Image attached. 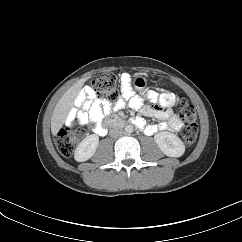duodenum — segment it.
Wrapping results in <instances>:
<instances>
[{"mask_svg": "<svg viewBox=\"0 0 242 242\" xmlns=\"http://www.w3.org/2000/svg\"><path fill=\"white\" fill-rule=\"evenodd\" d=\"M105 124L106 127L104 126L103 134L106 132L107 127H120L126 125L127 122L117 116H112Z\"/></svg>", "mask_w": 242, "mask_h": 242, "instance_id": "obj_1", "label": "duodenum"}]
</instances>
